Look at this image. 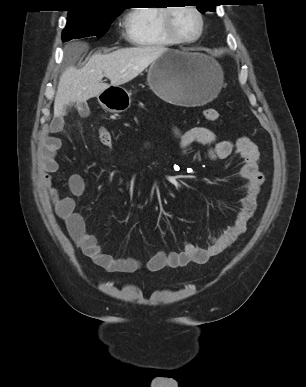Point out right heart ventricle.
<instances>
[{
    "label": "right heart ventricle",
    "mask_w": 306,
    "mask_h": 387,
    "mask_svg": "<svg viewBox=\"0 0 306 387\" xmlns=\"http://www.w3.org/2000/svg\"><path fill=\"white\" fill-rule=\"evenodd\" d=\"M164 6L139 7L129 11L123 22L127 41L138 47L163 48L173 46L163 29Z\"/></svg>",
    "instance_id": "1"
}]
</instances>
